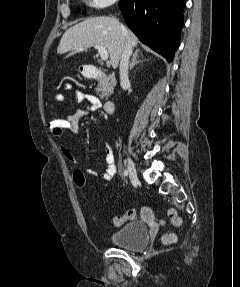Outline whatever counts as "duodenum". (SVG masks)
<instances>
[{
  "mask_svg": "<svg viewBox=\"0 0 240 287\" xmlns=\"http://www.w3.org/2000/svg\"><path fill=\"white\" fill-rule=\"evenodd\" d=\"M84 75L88 79L99 78L103 74V70L95 65L85 64L83 66ZM104 109L107 113L111 114L115 109V102L108 100L104 103Z\"/></svg>",
  "mask_w": 240,
  "mask_h": 287,
  "instance_id": "1",
  "label": "duodenum"
}]
</instances>
